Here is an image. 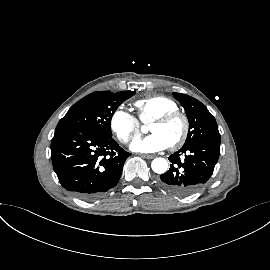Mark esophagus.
<instances>
[{
    "label": "esophagus",
    "mask_w": 270,
    "mask_h": 270,
    "mask_svg": "<svg viewBox=\"0 0 270 270\" xmlns=\"http://www.w3.org/2000/svg\"><path fill=\"white\" fill-rule=\"evenodd\" d=\"M144 158H146V159H153L155 156L154 155H152V154H143L142 155Z\"/></svg>",
    "instance_id": "1"
}]
</instances>
